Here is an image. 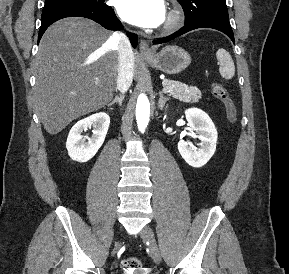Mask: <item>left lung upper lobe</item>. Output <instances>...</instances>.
I'll list each match as a JSON object with an SVG mask.
<instances>
[{
  "label": "left lung upper lobe",
  "mask_w": 289,
  "mask_h": 274,
  "mask_svg": "<svg viewBox=\"0 0 289 274\" xmlns=\"http://www.w3.org/2000/svg\"><path fill=\"white\" fill-rule=\"evenodd\" d=\"M185 13V24L196 20L217 17L229 19L225 0H177Z\"/></svg>",
  "instance_id": "1"
}]
</instances>
